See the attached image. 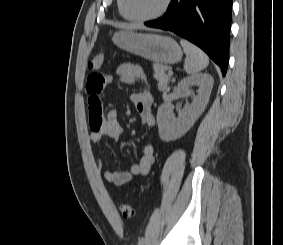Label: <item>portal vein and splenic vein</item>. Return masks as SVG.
Returning <instances> with one entry per match:
<instances>
[{
	"label": "portal vein and splenic vein",
	"instance_id": "18ae733b",
	"mask_svg": "<svg viewBox=\"0 0 283 245\" xmlns=\"http://www.w3.org/2000/svg\"><path fill=\"white\" fill-rule=\"evenodd\" d=\"M168 74H169V75H172V74H173V71H172L171 69H169V70H168Z\"/></svg>",
	"mask_w": 283,
	"mask_h": 245
}]
</instances>
